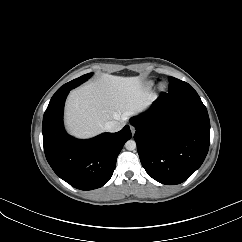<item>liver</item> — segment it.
I'll use <instances>...</instances> for the list:
<instances>
[{"instance_id":"1","label":"liver","mask_w":242,"mask_h":242,"mask_svg":"<svg viewBox=\"0 0 242 242\" xmlns=\"http://www.w3.org/2000/svg\"><path fill=\"white\" fill-rule=\"evenodd\" d=\"M153 95L144 91L139 77L103 74L71 91L65 106V123L78 138L93 137L112 120L125 122L148 106Z\"/></svg>"}]
</instances>
